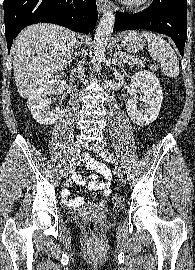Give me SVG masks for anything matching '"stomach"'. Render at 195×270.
<instances>
[{
    "mask_svg": "<svg viewBox=\"0 0 195 270\" xmlns=\"http://www.w3.org/2000/svg\"><path fill=\"white\" fill-rule=\"evenodd\" d=\"M121 46L129 52L140 51L145 45V39L138 31H125L120 33Z\"/></svg>",
    "mask_w": 195,
    "mask_h": 270,
    "instance_id": "obj_1",
    "label": "stomach"
}]
</instances>
